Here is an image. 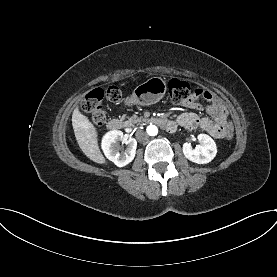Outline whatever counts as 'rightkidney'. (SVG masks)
Returning a JSON list of instances; mask_svg holds the SVG:
<instances>
[{
	"mask_svg": "<svg viewBox=\"0 0 277 277\" xmlns=\"http://www.w3.org/2000/svg\"><path fill=\"white\" fill-rule=\"evenodd\" d=\"M124 141L127 145L125 151H119V143ZM137 141L134 138L126 139L122 131L112 130L102 139V149L105 156L118 167H123L132 162L136 154Z\"/></svg>",
	"mask_w": 277,
	"mask_h": 277,
	"instance_id": "obj_1",
	"label": "right kidney"
}]
</instances>
